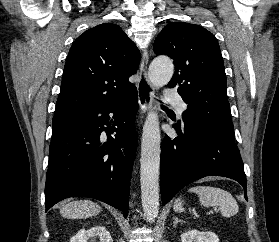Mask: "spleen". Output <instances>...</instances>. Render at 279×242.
Listing matches in <instances>:
<instances>
[{
  "label": "spleen",
  "instance_id": "obj_1",
  "mask_svg": "<svg viewBox=\"0 0 279 242\" xmlns=\"http://www.w3.org/2000/svg\"><path fill=\"white\" fill-rule=\"evenodd\" d=\"M188 192L196 193L199 197L200 204L204 207H219L221 214L225 217H231L238 213L239 207L237 201L228 191L203 185L191 187ZM174 210L176 212H182L184 210L180 198L175 201Z\"/></svg>",
  "mask_w": 279,
  "mask_h": 242
}]
</instances>
